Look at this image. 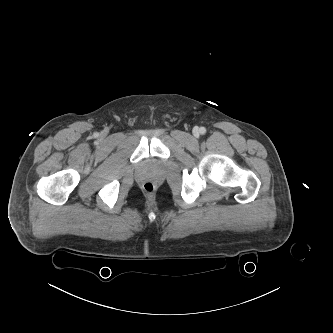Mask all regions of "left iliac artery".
<instances>
[{
    "instance_id": "left-iliac-artery-1",
    "label": "left iliac artery",
    "mask_w": 333,
    "mask_h": 333,
    "mask_svg": "<svg viewBox=\"0 0 333 333\" xmlns=\"http://www.w3.org/2000/svg\"><path fill=\"white\" fill-rule=\"evenodd\" d=\"M200 133H201V134H205V133H206V129H205L204 127H201V128H200Z\"/></svg>"
}]
</instances>
